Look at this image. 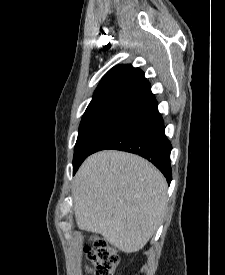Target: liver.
<instances>
[{
    "label": "liver",
    "mask_w": 225,
    "mask_h": 275,
    "mask_svg": "<svg viewBox=\"0 0 225 275\" xmlns=\"http://www.w3.org/2000/svg\"><path fill=\"white\" fill-rule=\"evenodd\" d=\"M72 196L79 229L100 234L120 251L133 253L147 244L161 224L167 182L140 156L101 151L80 166Z\"/></svg>",
    "instance_id": "6515ba94"
}]
</instances>
